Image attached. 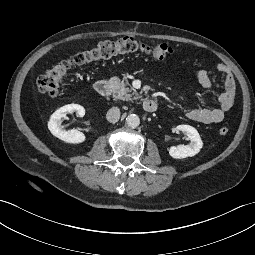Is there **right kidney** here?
I'll return each mask as SVG.
<instances>
[{"mask_svg":"<svg viewBox=\"0 0 255 255\" xmlns=\"http://www.w3.org/2000/svg\"><path fill=\"white\" fill-rule=\"evenodd\" d=\"M68 112H76L80 117L85 115V109L83 106L78 104L65 105L51 115L48 122V129L55 137L64 142L72 144L82 143L85 141V135L82 132L77 129L66 130L63 129V126L61 125L63 119H66V114Z\"/></svg>","mask_w":255,"mask_h":255,"instance_id":"right-kidney-1","label":"right kidney"}]
</instances>
